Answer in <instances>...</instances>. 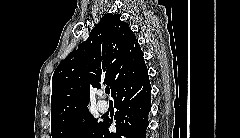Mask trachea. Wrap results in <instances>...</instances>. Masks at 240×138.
I'll return each mask as SVG.
<instances>
[{
    "label": "trachea",
    "instance_id": "obj_1",
    "mask_svg": "<svg viewBox=\"0 0 240 138\" xmlns=\"http://www.w3.org/2000/svg\"><path fill=\"white\" fill-rule=\"evenodd\" d=\"M105 93L109 95V93H110V88H105Z\"/></svg>",
    "mask_w": 240,
    "mask_h": 138
}]
</instances>
